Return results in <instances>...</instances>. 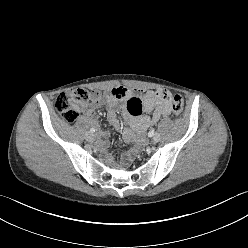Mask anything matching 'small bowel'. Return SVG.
I'll use <instances>...</instances> for the list:
<instances>
[{"label":"small bowel","mask_w":248,"mask_h":248,"mask_svg":"<svg viewBox=\"0 0 248 248\" xmlns=\"http://www.w3.org/2000/svg\"><path fill=\"white\" fill-rule=\"evenodd\" d=\"M162 90H142L130 89L126 87H115L109 93H93V104L87 108L85 112L93 116L94 108L109 106L108 120L113 129L118 130L120 127L116 105L118 102H126L125 116L134 132H126L128 138H134L135 133H141L152 126L162 116L169 115L172 110V103L169 98L162 96ZM79 110L81 107H78ZM152 112V115L144 113ZM107 134L103 133L97 139V144L104 149L107 146ZM138 144H142V140H138ZM130 154H126L123 158L128 160Z\"/></svg>","instance_id":"c3829d8e"}]
</instances>
